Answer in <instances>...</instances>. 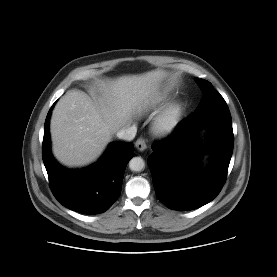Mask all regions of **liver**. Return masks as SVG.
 <instances>
[{"mask_svg":"<svg viewBox=\"0 0 277 277\" xmlns=\"http://www.w3.org/2000/svg\"><path fill=\"white\" fill-rule=\"evenodd\" d=\"M165 76L156 70L103 82L95 100L80 91L67 92L52 113L54 156L69 167L96 161L116 131L156 102Z\"/></svg>","mask_w":277,"mask_h":277,"instance_id":"1","label":"liver"}]
</instances>
